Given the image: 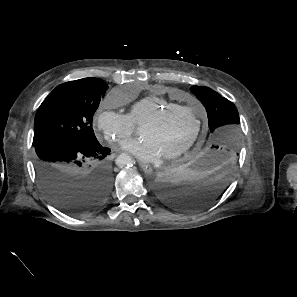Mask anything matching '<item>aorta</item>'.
<instances>
[{
    "mask_svg": "<svg viewBox=\"0 0 297 297\" xmlns=\"http://www.w3.org/2000/svg\"><path fill=\"white\" fill-rule=\"evenodd\" d=\"M133 164L132 158L125 154L122 153L116 158V165L118 167H126V166H131Z\"/></svg>",
    "mask_w": 297,
    "mask_h": 297,
    "instance_id": "762f6f07",
    "label": "aorta"
}]
</instances>
